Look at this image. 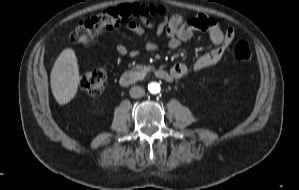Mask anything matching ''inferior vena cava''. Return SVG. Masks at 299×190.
Returning <instances> with one entry per match:
<instances>
[{
	"label": "inferior vena cava",
	"mask_w": 299,
	"mask_h": 190,
	"mask_svg": "<svg viewBox=\"0 0 299 190\" xmlns=\"http://www.w3.org/2000/svg\"><path fill=\"white\" fill-rule=\"evenodd\" d=\"M145 90L142 87L134 86L130 89V96L133 98H139L144 96Z\"/></svg>",
	"instance_id": "inferior-vena-cava-1"
}]
</instances>
